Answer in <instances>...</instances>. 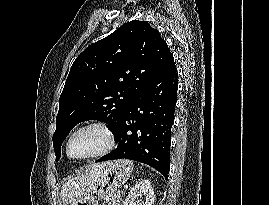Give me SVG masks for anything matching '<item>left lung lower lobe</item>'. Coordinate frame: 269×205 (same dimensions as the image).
Returning <instances> with one entry per match:
<instances>
[{"mask_svg":"<svg viewBox=\"0 0 269 205\" xmlns=\"http://www.w3.org/2000/svg\"><path fill=\"white\" fill-rule=\"evenodd\" d=\"M177 75L171 54L161 71L124 113L113 133L119 142L117 148L97 162L130 159L148 164L168 178Z\"/></svg>","mask_w":269,"mask_h":205,"instance_id":"1","label":"left lung lower lobe"}]
</instances>
